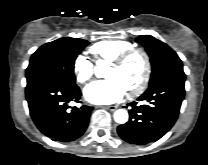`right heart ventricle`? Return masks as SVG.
Returning a JSON list of instances; mask_svg holds the SVG:
<instances>
[{
    "mask_svg": "<svg viewBox=\"0 0 208 165\" xmlns=\"http://www.w3.org/2000/svg\"><path fill=\"white\" fill-rule=\"evenodd\" d=\"M133 47L134 45L127 40L105 39L95 43L89 51L97 59L110 62L122 52Z\"/></svg>",
    "mask_w": 208,
    "mask_h": 165,
    "instance_id": "right-heart-ventricle-1",
    "label": "right heart ventricle"
}]
</instances>
